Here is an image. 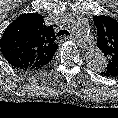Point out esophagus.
<instances>
[{
    "label": "esophagus",
    "instance_id": "obj_1",
    "mask_svg": "<svg viewBox=\"0 0 118 118\" xmlns=\"http://www.w3.org/2000/svg\"><path fill=\"white\" fill-rule=\"evenodd\" d=\"M65 40H74V41H78L77 38H74L72 36H66L64 37ZM79 45L82 47V48H86L87 47V44L81 42V41H78Z\"/></svg>",
    "mask_w": 118,
    "mask_h": 118
}]
</instances>
